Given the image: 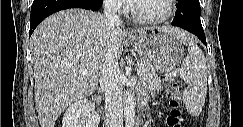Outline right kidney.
Returning a JSON list of instances; mask_svg holds the SVG:
<instances>
[{
    "label": "right kidney",
    "mask_w": 243,
    "mask_h": 127,
    "mask_svg": "<svg viewBox=\"0 0 243 127\" xmlns=\"http://www.w3.org/2000/svg\"><path fill=\"white\" fill-rule=\"evenodd\" d=\"M100 116L92 109L91 102L80 99L70 104L62 120V127H98Z\"/></svg>",
    "instance_id": "1"
}]
</instances>
